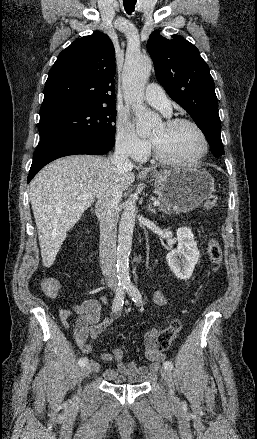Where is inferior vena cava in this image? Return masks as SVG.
<instances>
[{"mask_svg": "<svg viewBox=\"0 0 257 439\" xmlns=\"http://www.w3.org/2000/svg\"><path fill=\"white\" fill-rule=\"evenodd\" d=\"M110 161L113 165L124 169H132L133 164L128 153L122 148H116ZM122 192L116 186L110 188L98 198L95 206L96 215L100 221V265L102 273L110 287L116 288L118 276L116 272V227L118 221L117 207Z\"/></svg>", "mask_w": 257, "mask_h": 439, "instance_id": "inferior-vena-cava-1", "label": "inferior vena cava"}]
</instances>
